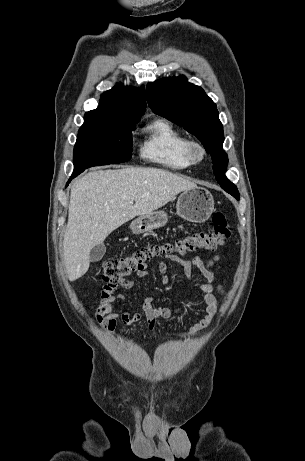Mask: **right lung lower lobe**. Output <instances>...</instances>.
I'll list each match as a JSON object with an SVG mask.
<instances>
[{"mask_svg":"<svg viewBox=\"0 0 305 461\" xmlns=\"http://www.w3.org/2000/svg\"><path fill=\"white\" fill-rule=\"evenodd\" d=\"M81 172H82V171H81L80 169H79V170H74V172H73V174H72V176H71V179L74 178L75 176H77V175H78L79 173H81ZM71 179H70V180H71ZM70 180H69V182H70Z\"/></svg>","mask_w":305,"mask_h":461,"instance_id":"1","label":"right lung lower lobe"}]
</instances>
